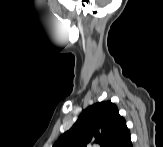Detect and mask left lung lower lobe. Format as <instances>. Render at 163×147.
I'll return each instance as SVG.
<instances>
[{"label": "left lung lower lobe", "mask_w": 163, "mask_h": 147, "mask_svg": "<svg viewBox=\"0 0 163 147\" xmlns=\"http://www.w3.org/2000/svg\"><path fill=\"white\" fill-rule=\"evenodd\" d=\"M114 147H132L130 131L127 127L123 130L122 134L114 144Z\"/></svg>", "instance_id": "1"}]
</instances>
